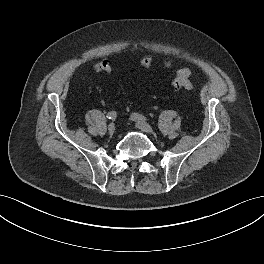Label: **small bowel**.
Instances as JSON below:
<instances>
[{
  "label": "small bowel",
  "instance_id": "c3829d8e",
  "mask_svg": "<svg viewBox=\"0 0 264 264\" xmlns=\"http://www.w3.org/2000/svg\"><path fill=\"white\" fill-rule=\"evenodd\" d=\"M170 65H171V63H170L169 61H167V62L165 63V66H166V67H170Z\"/></svg>",
  "mask_w": 264,
  "mask_h": 264
}]
</instances>
